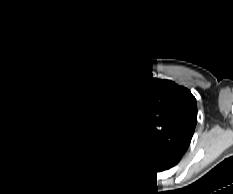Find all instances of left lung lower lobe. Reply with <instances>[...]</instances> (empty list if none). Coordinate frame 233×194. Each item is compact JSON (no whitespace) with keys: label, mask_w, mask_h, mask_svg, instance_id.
<instances>
[{"label":"left lung lower lobe","mask_w":233,"mask_h":194,"mask_svg":"<svg viewBox=\"0 0 233 194\" xmlns=\"http://www.w3.org/2000/svg\"><path fill=\"white\" fill-rule=\"evenodd\" d=\"M181 158L173 156H158L145 151L136 155L135 160L138 166L145 171L160 172L170 169L180 161Z\"/></svg>","instance_id":"1"}]
</instances>
